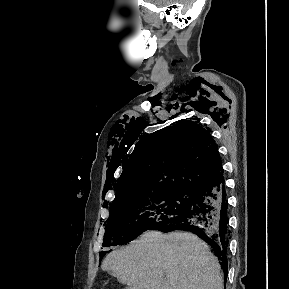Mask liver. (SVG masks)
<instances>
[{
    "label": "liver",
    "instance_id": "liver-1",
    "mask_svg": "<svg viewBox=\"0 0 289 289\" xmlns=\"http://www.w3.org/2000/svg\"><path fill=\"white\" fill-rule=\"evenodd\" d=\"M102 269L126 289H223L217 259L188 232L147 231L108 254Z\"/></svg>",
    "mask_w": 289,
    "mask_h": 289
}]
</instances>
